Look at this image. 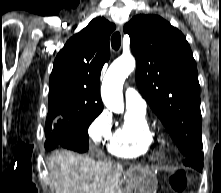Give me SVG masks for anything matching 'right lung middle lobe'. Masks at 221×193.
<instances>
[{"mask_svg": "<svg viewBox=\"0 0 221 193\" xmlns=\"http://www.w3.org/2000/svg\"><path fill=\"white\" fill-rule=\"evenodd\" d=\"M100 113L92 112L67 117L48 114L45 125V148L49 150L61 145L78 152L87 151L89 137L86 130Z\"/></svg>", "mask_w": 221, "mask_h": 193, "instance_id": "1", "label": "right lung middle lobe"}]
</instances>
